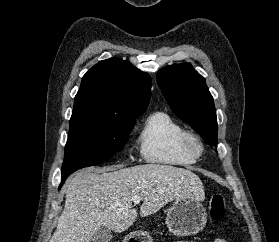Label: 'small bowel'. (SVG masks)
I'll list each match as a JSON object with an SVG mask.
<instances>
[{
	"label": "small bowel",
	"mask_w": 279,
	"mask_h": 242,
	"mask_svg": "<svg viewBox=\"0 0 279 242\" xmlns=\"http://www.w3.org/2000/svg\"><path fill=\"white\" fill-rule=\"evenodd\" d=\"M176 242H190V241H176ZM214 242H228V241L223 238H217L214 240Z\"/></svg>",
	"instance_id": "c3829d8e"
}]
</instances>
